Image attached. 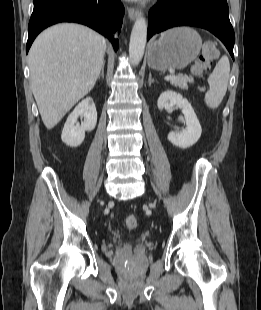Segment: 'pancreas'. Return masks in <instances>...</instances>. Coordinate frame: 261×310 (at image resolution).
<instances>
[{
  "mask_svg": "<svg viewBox=\"0 0 261 310\" xmlns=\"http://www.w3.org/2000/svg\"><path fill=\"white\" fill-rule=\"evenodd\" d=\"M170 83L176 87H179L183 90H187L188 89V85L187 83L192 82L193 78L192 77H188L187 75H183V74H178L175 76L174 79L169 80Z\"/></svg>",
  "mask_w": 261,
  "mask_h": 310,
  "instance_id": "obj_1",
  "label": "pancreas"
}]
</instances>
